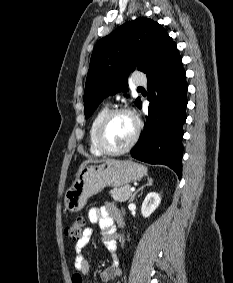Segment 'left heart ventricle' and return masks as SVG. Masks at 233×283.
<instances>
[{
  "instance_id": "obj_1",
  "label": "left heart ventricle",
  "mask_w": 233,
  "mask_h": 283,
  "mask_svg": "<svg viewBox=\"0 0 233 283\" xmlns=\"http://www.w3.org/2000/svg\"><path fill=\"white\" fill-rule=\"evenodd\" d=\"M134 130L135 122L130 115H116L105 130L104 143L109 149H120L131 140Z\"/></svg>"
}]
</instances>
